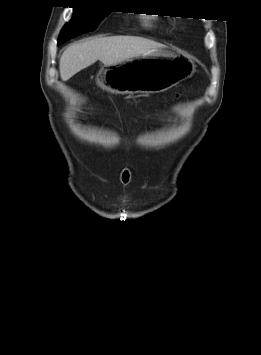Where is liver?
<instances>
[{
    "label": "liver",
    "mask_w": 261,
    "mask_h": 355,
    "mask_svg": "<svg viewBox=\"0 0 261 355\" xmlns=\"http://www.w3.org/2000/svg\"><path fill=\"white\" fill-rule=\"evenodd\" d=\"M160 47V43L135 36L96 37L74 43L60 58V76L67 81L97 60L109 66Z\"/></svg>",
    "instance_id": "liver-1"
}]
</instances>
